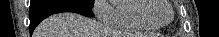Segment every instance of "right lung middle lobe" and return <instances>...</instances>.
Wrapping results in <instances>:
<instances>
[{
  "label": "right lung middle lobe",
  "instance_id": "obj_1",
  "mask_svg": "<svg viewBox=\"0 0 219 37\" xmlns=\"http://www.w3.org/2000/svg\"><path fill=\"white\" fill-rule=\"evenodd\" d=\"M41 0H31V3H35V2H39ZM77 2L85 5V6H88V7H92V0H77Z\"/></svg>",
  "mask_w": 219,
  "mask_h": 37
}]
</instances>
